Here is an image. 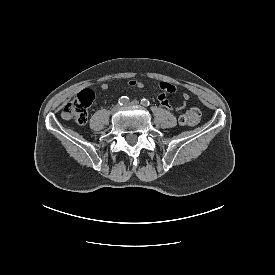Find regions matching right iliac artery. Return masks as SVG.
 <instances>
[{"instance_id": "1", "label": "right iliac artery", "mask_w": 275, "mask_h": 275, "mask_svg": "<svg viewBox=\"0 0 275 275\" xmlns=\"http://www.w3.org/2000/svg\"><path fill=\"white\" fill-rule=\"evenodd\" d=\"M128 102H129V98L127 96H122L118 100L119 105H125Z\"/></svg>"}]
</instances>
